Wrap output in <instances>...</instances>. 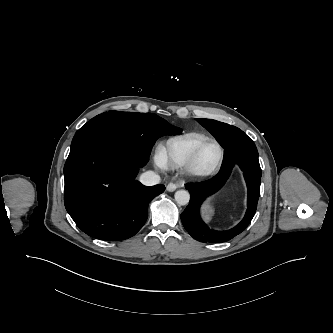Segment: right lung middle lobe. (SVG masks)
Wrapping results in <instances>:
<instances>
[{"label": "right lung middle lobe", "instance_id": "dd1d6c3e", "mask_svg": "<svg viewBox=\"0 0 333 333\" xmlns=\"http://www.w3.org/2000/svg\"><path fill=\"white\" fill-rule=\"evenodd\" d=\"M181 132L152 113L109 111L97 115L75 134L72 143L88 136L112 139L123 146L149 157L156 140L167 134Z\"/></svg>", "mask_w": 333, "mask_h": 333}]
</instances>
